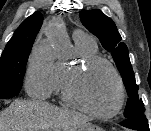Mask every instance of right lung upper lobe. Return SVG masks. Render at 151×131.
Returning <instances> with one entry per match:
<instances>
[{"instance_id": "right-lung-upper-lobe-1", "label": "right lung upper lobe", "mask_w": 151, "mask_h": 131, "mask_svg": "<svg viewBox=\"0 0 151 131\" xmlns=\"http://www.w3.org/2000/svg\"><path fill=\"white\" fill-rule=\"evenodd\" d=\"M42 22V14L40 12L33 13L16 29L13 37L9 40L5 48L33 45Z\"/></svg>"}]
</instances>
